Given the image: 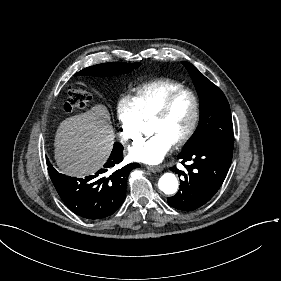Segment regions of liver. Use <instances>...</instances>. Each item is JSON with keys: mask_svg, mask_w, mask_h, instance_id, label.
Segmentation results:
<instances>
[{"mask_svg": "<svg viewBox=\"0 0 281 281\" xmlns=\"http://www.w3.org/2000/svg\"><path fill=\"white\" fill-rule=\"evenodd\" d=\"M115 138L110 115L104 105L69 117L60 123L55 136V160L67 175H92L109 158Z\"/></svg>", "mask_w": 281, "mask_h": 281, "instance_id": "6515ba94", "label": "liver"}]
</instances>
